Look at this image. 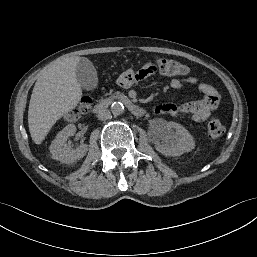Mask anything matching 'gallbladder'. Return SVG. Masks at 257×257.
I'll list each match as a JSON object with an SVG mask.
<instances>
[{
	"mask_svg": "<svg viewBox=\"0 0 257 257\" xmlns=\"http://www.w3.org/2000/svg\"><path fill=\"white\" fill-rule=\"evenodd\" d=\"M76 77L82 88L92 90L97 87V72L93 63L87 58H81L76 66Z\"/></svg>",
	"mask_w": 257,
	"mask_h": 257,
	"instance_id": "1",
	"label": "gallbladder"
}]
</instances>
